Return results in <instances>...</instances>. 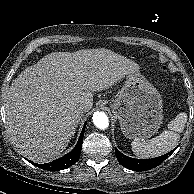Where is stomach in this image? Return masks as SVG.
<instances>
[{"instance_id": "stomach-1", "label": "stomach", "mask_w": 194, "mask_h": 194, "mask_svg": "<svg viewBox=\"0 0 194 194\" xmlns=\"http://www.w3.org/2000/svg\"><path fill=\"white\" fill-rule=\"evenodd\" d=\"M111 109L119 120L122 133L129 139L150 138L162 124L161 95L140 72L126 76Z\"/></svg>"}]
</instances>
